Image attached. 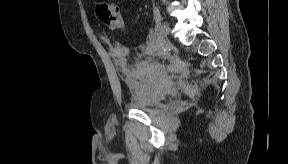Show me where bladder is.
Masks as SVG:
<instances>
[{"label":"bladder","instance_id":"bladder-1","mask_svg":"<svg viewBox=\"0 0 288 164\" xmlns=\"http://www.w3.org/2000/svg\"><path fill=\"white\" fill-rule=\"evenodd\" d=\"M157 100V94L154 91H148L146 94L136 99L133 103V107L142 112H150L157 105Z\"/></svg>","mask_w":288,"mask_h":164}]
</instances>
